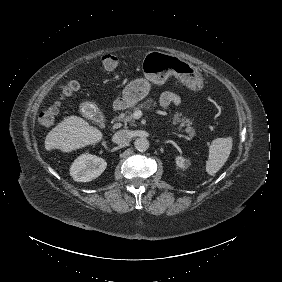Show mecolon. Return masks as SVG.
<instances>
[{
    "mask_svg": "<svg viewBox=\"0 0 282 282\" xmlns=\"http://www.w3.org/2000/svg\"><path fill=\"white\" fill-rule=\"evenodd\" d=\"M119 64L120 60L115 54H105L100 61L101 68L104 71L115 70L118 68ZM77 87L78 84L76 81H70L60 89V91L57 93L55 101L49 107H47L39 117L38 122L42 128L50 129L54 125L62 100L70 96L77 89Z\"/></svg>",
    "mask_w": 282,
    "mask_h": 282,
    "instance_id": "colon-1",
    "label": "colon"
}]
</instances>
